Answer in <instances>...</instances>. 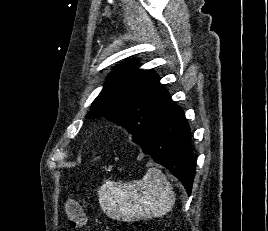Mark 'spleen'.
Here are the masks:
<instances>
[{
    "mask_svg": "<svg viewBox=\"0 0 268 231\" xmlns=\"http://www.w3.org/2000/svg\"><path fill=\"white\" fill-rule=\"evenodd\" d=\"M98 197L107 216L126 222L164 216L175 203L171 184L155 167L149 168L142 180L105 181Z\"/></svg>",
    "mask_w": 268,
    "mask_h": 231,
    "instance_id": "obj_1",
    "label": "spleen"
}]
</instances>
